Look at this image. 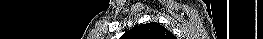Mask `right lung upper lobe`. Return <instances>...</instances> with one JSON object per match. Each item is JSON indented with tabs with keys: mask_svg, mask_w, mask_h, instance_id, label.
<instances>
[{
	"mask_svg": "<svg viewBox=\"0 0 263 39\" xmlns=\"http://www.w3.org/2000/svg\"><path fill=\"white\" fill-rule=\"evenodd\" d=\"M133 39H173V34L162 25L152 22L136 26L126 31L121 38Z\"/></svg>",
	"mask_w": 263,
	"mask_h": 39,
	"instance_id": "1",
	"label": "right lung upper lobe"
}]
</instances>
